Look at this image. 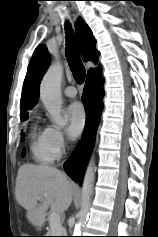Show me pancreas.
<instances>
[{"label":"pancreas","instance_id":"pancreas-1","mask_svg":"<svg viewBox=\"0 0 158 237\" xmlns=\"http://www.w3.org/2000/svg\"><path fill=\"white\" fill-rule=\"evenodd\" d=\"M63 233V228L60 226L56 229L54 228H50V230L48 231V236H58V235H61Z\"/></svg>","mask_w":158,"mask_h":237}]
</instances>
